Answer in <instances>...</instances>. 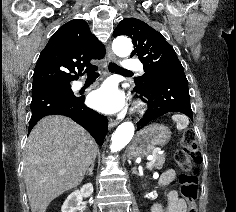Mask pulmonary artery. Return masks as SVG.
<instances>
[{
	"label": "pulmonary artery",
	"instance_id": "1",
	"mask_svg": "<svg viewBox=\"0 0 236 212\" xmlns=\"http://www.w3.org/2000/svg\"><path fill=\"white\" fill-rule=\"evenodd\" d=\"M122 68L125 70H137L142 72L143 71V67L142 64L137 61V60H125L122 63ZM83 86L82 82H76L75 83V88L76 89H80Z\"/></svg>",
	"mask_w": 236,
	"mask_h": 212
}]
</instances>
